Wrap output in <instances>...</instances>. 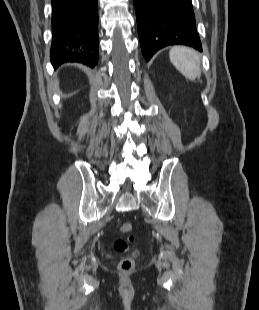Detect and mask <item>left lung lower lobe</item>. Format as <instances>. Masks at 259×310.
<instances>
[{
  "label": "left lung lower lobe",
  "mask_w": 259,
  "mask_h": 310,
  "mask_svg": "<svg viewBox=\"0 0 259 310\" xmlns=\"http://www.w3.org/2000/svg\"><path fill=\"white\" fill-rule=\"evenodd\" d=\"M146 61L161 48L187 45L202 51L191 0H134Z\"/></svg>",
  "instance_id": "1"
}]
</instances>
